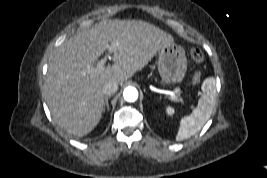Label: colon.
Here are the masks:
<instances>
[{"label":"colon","instance_id":"5ec220e1","mask_svg":"<svg viewBox=\"0 0 267 178\" xmlns=\"http://www.w3.org/2000/svg\"><path fill=\"white\" fill-rule=\"evenodd\" d=\"M189 55L191 59L196 63H201L203 61V53L200 50V48L196 46H191L189 48ZM200 79H201V73L200 72L195 73V75L193 76V82L198 83Z\"/></svg>","mask_w":267,"mask_h":178}]
</instances>
